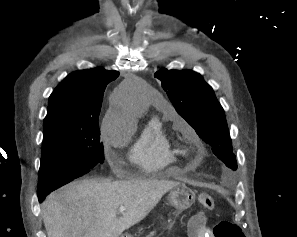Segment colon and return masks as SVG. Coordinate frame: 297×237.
<instances>
[{
	"label": "colon",
	"instance_id": "1",
	"mask_svg": "<svg viewBox=\"0 0 297 237\" xmlns=\"http://www.w3.org/2000/svg\"><path fill=\"white\" fill-rule=\"evenodd\" d=\"M201 208L210 211L214 208V199L210 194L201 193L198 197ZM202 224V220L198 219L194 226L196 229ZM214 237H245L241 228L227 220L218 222L213 228Z\"/></svg>",
	"mask_w": 297,
	"mask_h": 237
}]
</instances>
